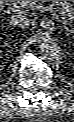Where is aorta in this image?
I'll return each instance as SVG.
<instances>
[{"instance_id": "762f6f07", "label": "aorta", "mask_w": 74, "mask_h": 122, "mask_svg": "<svg viewBox=\"0 0 74 122\" xmlns=\"http://www.w3.org/2000/svg\"><path fill=\"white\" fill-rule=\"evenodd\" d=\"M39 54L44 60H52L59 56L60 48L57 42L51 37H43L38 43Z\"/></svg>"}]
</instances>
